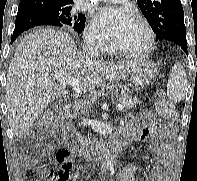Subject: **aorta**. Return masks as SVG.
Masks as SVG:
<instances>
[{
	"mask_svg": "<svg viewBox=\"0 0 197 181\" xmlns=\"http://www.w3.org/2000/svg\"><path fill=\"white\" fill-rule=\"evenodd\" d=\"M104 165H105L107 170H110L112 168L113 161H112V158L110 156L106 157Z\"/></svg>",
	"mask_w": 197,
	"mask_h": 181,
	"instance_id": "aorta-1",
	"label": "aorta"
}]
</instances>
